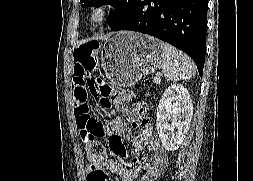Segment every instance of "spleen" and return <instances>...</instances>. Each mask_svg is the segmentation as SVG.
<instances>
[{"label": "spleen", "mask_w": 253, "mask_h": 181, "mask_svg": "<svg viewBox=\"0 0 253 181\" xmlns=\"http://www.w3.org/2000/svg\"><path fill=\"white\" fill-rule=\"evenodd\" d=\"M161 68L168 81L188 80L195 76V63L175 47L162 42Z\"/></svg>", "instance_id": "obj_1"}]
</instances>
